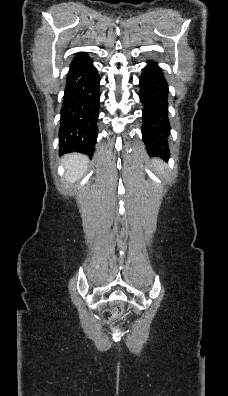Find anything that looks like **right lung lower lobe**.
<instances>
[{"label":"right lung lower lobe","instance_id":"1","mask_svg":"<svg viewBox=\"0 0 228 396\" xmlns=\"http://www.w3.org/2000/svg\"><path fill=\"white\" fill-rule=\"evenodd\" d=\"M100 77L90 57L73 58L61 111L60 153L80 152L91 157L97 140Z\"/></svg>","mask_w":228,"mask_h":396}]
</instances>
